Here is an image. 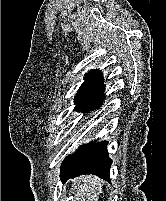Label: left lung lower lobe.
<instances>
[{
  "label": "left lung lower lobe",
  "instance_id": "left-lung-lower-lobe-1",
  "mask_svg": "<svg viewBox=\"0 0 166 201\" xmlns=\"http://www.w3.org/2000/svg\"><path fill=\"white\" fill-rule=\"evenodd\" d=\"M108 142L82 145L72 155L67 156L61 166V180L67 181L82 174H92L110 180L112 160L106 149Z\"/></svg>",
  "mask_w": 166,
  "mask_h": 201
}]
</instances>
